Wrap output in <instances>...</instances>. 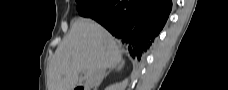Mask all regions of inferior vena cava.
<instances>
[{"label": "inferior vena cava", "instance_id": "602c4592", "mask_svg": "<svg viewBox=\"0 0 228 90\" xmlns=\"http://www.w3.org/2000/svg\"><path fill=\"white\" fill-rule=\"evenodd\" d=\"M106 68L107 67L104 64H100L92 70L86 79V90H97L98 86L105 77Z\"/></svg>", "mask_w": 228, "mask_h": 90}]
</instances>
